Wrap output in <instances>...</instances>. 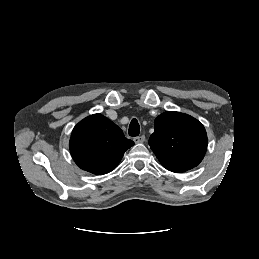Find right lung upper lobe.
<instances>
[{"instance_id":"1","label":"right lung upper lobe","mask_w":259,"mask_h":259,"mask_svg":"<svg viewBox=\"0 0 259 259\" xmlns=\"http://www.w3.org/2000/svg\"><path fill=\"white\" fill-rule=\"evenodd\" d=\"M133 145L117 125L101 114L80 121L74 127L69 143L75 163L97 175L112 171Z\"/></svg>"}]
</instances>
